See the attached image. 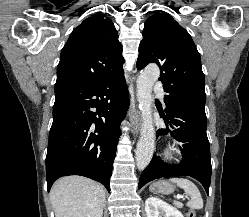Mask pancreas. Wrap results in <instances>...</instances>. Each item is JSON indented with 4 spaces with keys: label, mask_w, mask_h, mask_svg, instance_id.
Returning <instances> with one entry per match:
<instances>
[{
    "label": "pancreas",
    "mask_w": 249,
    "mask_h": 217,
    "mask_svg": "<svg viewBox=\"0 0 249 217\" xmlns=\"http://www.w3.org/2000/svg\"><path fill=\"white\" fill-rule=\"evenodd\" d=\"M174 205L178 208H182L183 204L181 202H174Z\"/></svg>",
    "instance_id": "cf45deb5"
}]
</instances>
